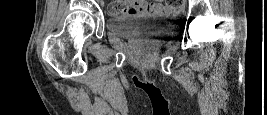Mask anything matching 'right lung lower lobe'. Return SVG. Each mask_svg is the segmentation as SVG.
I'll use <instances>...</instances> for the list:
<instances>
[{"label": "right lung lower lobe", "mask_w": 267, "mask_h": 115, "mask_svg": "<svg viewBox=\"0 0 267 115\" xmlns=\"http://www.w3.org/2000/svg\"><path fill=\"white\" fill-rule=\"evenodd\" d=\"M141 88H143V89L146 90V91H153L152 89H150V88H148V87H141Z\"/></svg>", "instance_id": "obj_1"}]
</instances>
